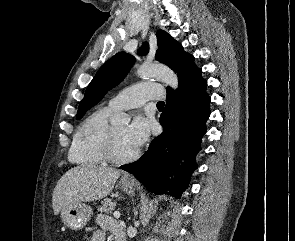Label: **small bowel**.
Returning a JSON list of instances; mask_svg holds the SVG:
<instances>
[{
  "mask_svg": "<svg viewBox=\"0 0 295 241\" xmlns=\"http://www.w3.org/2000/svg\"><path fill=\"white\" fill-rule=\"evenodd\" d=\"M99 230L94 232L87 241H105L106 232H110L117 238L118 235H123V226L121 223L115 221L111 217L105 214H99L96 217Z\"/></svg>",
  "mask_w": 295,
  "mask_h": 241,
  "instance_id": "1",
  "label": "small bowel"
}]
</instances>
